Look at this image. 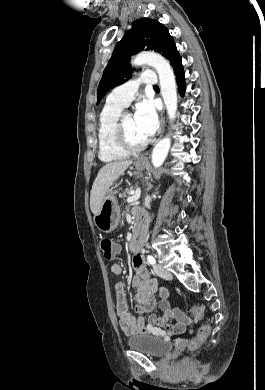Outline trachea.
<instances>
[{"instance_id":"obj_1","label":"trachea","mask_w":265,"mask_h":390,"mask_svg":"<svg viewBox=\"0 0 265 390\" xmlns=\"http://www.w3.org/2000/svg\"><path fill=\"white\" fill-rule=\"evenodd\" d=\"M154 88H159L158 85H154Z\"/></svg>"}]
</instances>
